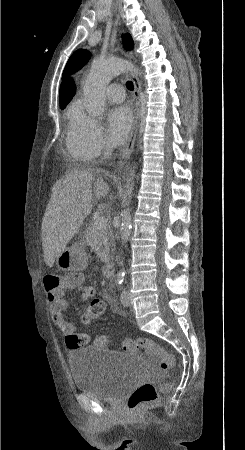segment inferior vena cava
Instances as JSON below:
<instances>
[{
    "instance_id": "1",
    "label": "inferior vena cava",
    "mask_w": 245,
    "mask_h": 450,
    "mask_svg": "<svg viewBox=\"0 0 245 450\" xmlns=\"http://www.w3.org/2000/svg\"><path fill=\"white\" fill-rule=\"evenodd\" d=\"M112 151H113L112 146L107 145L105 149V156L108 157L109 155H111Z\"/></svg>"
}]
</instances>
